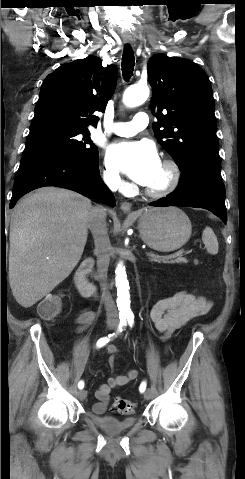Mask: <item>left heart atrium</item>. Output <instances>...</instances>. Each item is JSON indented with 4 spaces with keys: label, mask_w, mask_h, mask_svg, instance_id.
<instances>
[{
    "label": "left heart atrium",
    "mask_w": 245,
    "mask_h": 479,
    "mask_svg": "<svg viewBox=\"0 0 245 479\" xmlns=\"http://www.w3.org/2000/svg\"><path fill=\"white\" fill-rule=\"evenodd\" d=\"M107 160L142 186L151 184L161 167L156 148L146 140L120 142L111 146Z\"/></svg>",
    "instance_id": "39dd6f15"
}]
</instances>
